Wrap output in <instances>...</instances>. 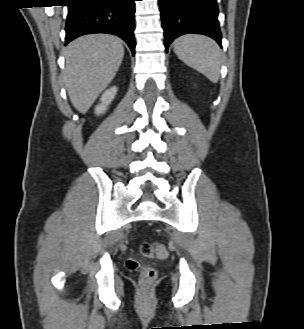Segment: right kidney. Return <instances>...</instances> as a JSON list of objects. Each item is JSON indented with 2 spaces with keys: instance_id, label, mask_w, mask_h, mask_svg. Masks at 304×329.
<instances>
[{
  "instance_id": "1",
  "label": "right kidney",
  "mask_w": 304,
  "mask_h": 329,
  "mask_svg": "<svg viewBox=\"0 0 304 329\" xmlns=\"http://www.w3.org/2000/svg\"><path fill=\"white\" fill-rule=\"evenodd\" d=\"M117 92L116 87H112L108 90H106L103 95L100 98V104L96 106L95 113L97 115H100L104 113L107 109V106L111 103V101L114 99Z\"/></svg>"
}]
</instances>
